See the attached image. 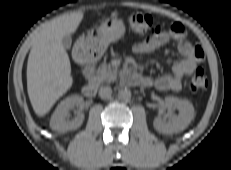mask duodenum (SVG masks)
<instances>
[{
    "label": "duodenum",
    "mask_w": 231,
    "mask_h": 170,
    "mask_svg": "<svg viewBox=\"0 0 231 170\" xmlns=\"http://www.w3.org/2000/svg\"><path fill=\"white\" fill-rule=\"evenodd\" d=\"M77 59L84 64V76L89 80L83 88V93L86 97L93 98L96 95L99 87L98 80L93 77V65L89 62L87 57L83 55H78ZM125 80L130 83H138L139 76L138 74L129 71L126 74Z\"/></svg>",
    "instance_id": "1"
}]
</instances>
